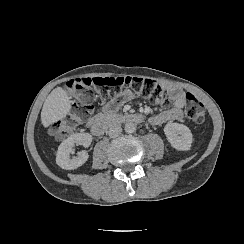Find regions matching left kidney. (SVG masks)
Segmentation results:
<instances>
[{"label": "left kidney", "instance_id": "1", "mask_svg": "<svg viewBox=\"0 0 244 244\" xmlns=\"http://www.w3.org/2000/svg\"><path fill=\"white\" fill-rule=\"evenodd\" d=\"M170 146L182 152H187L192 147L193 136L190 129L184 124L170 122L163 128Z\"/></svg>", "mask_w": 244, "mask_h": 244}]
</instances>
